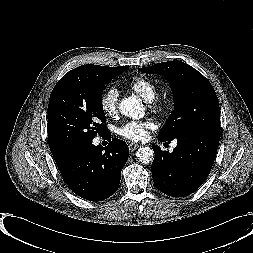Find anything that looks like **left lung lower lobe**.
Here are the masks:
<instances>
[{
	"mask_svg": "<svg viewBox=\"0 0 253 253\" xmlns=\"http://www.w3.org/2000/svg\"><path fill=\"white\" fill-rule=\"evenodd\" d=\"M176 139L177 146L172 153L152 146L155 157L151 171L157 189L172 197H184L196 191L208 177L220 132L192 130Z\"/></svg>",
	"mask_w": 253,
	"mask_h": 253,
	"instance_id": "0a47b994",
	"label": "left lung lower lobe"
}]
</instances>
